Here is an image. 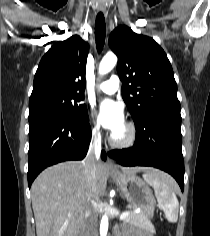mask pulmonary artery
Wrapping results in <instances>:
<instances>
[{"mask_svg": "<svg viewBox=\"0 0 210 236\" xmlns=\"http://www.w3.org/2000/svg\"><path fill=\"white\" fill-rule=\"evenodd\" d=\"M120 86V79L117 76H112L108 81L99 85V90L106 94H112L117 91Z\"/></svg>", "mask_w": 210, "mask_h": 236, "instance_id": "e3ab8cb5", "label": "pulmonary artery"}]
</instances>
